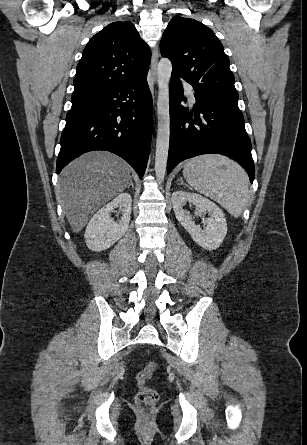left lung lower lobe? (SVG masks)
Returning a JSON list of instances; mask_svg holds the SVG:
<instances>
[{"mask_svg": "<svg viewBox=\"0 0 307 445\" xmlns=\"http://www.w3.org/2000/svg\"><path fill=\"white\" fill-rule=\"evenodd\" d=\"M194 96L196 104L191 112L180 104L184 99L179 77L171 76L167 173L187 158L217 153L237 161L247 171L252 183L255 168L251 142L238 105L209 99L196 93Z\"/></svg>", "mask_w": 307, "mask_h": 445, "instance_id": "obj_1", "label": "left lung lower lobe"}]
</instances>
